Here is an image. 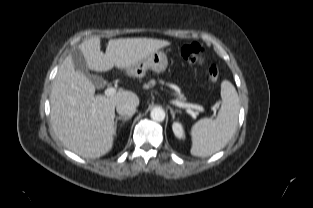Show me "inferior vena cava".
<instances>
[{
  "label": "inferior vena cava",
  "instance_id": "602c4592",
  "mask_svg": "<svg viewBox=\"0 0 313 208\" xmlns=\"http://www.w3.org/2000/svg\"><path fill=\"white\" fill-rule=\"evenodd\" d=\"M117 113L122 116H132L136 111V105L130 102H121L116 106Z\"/></svg>",
  "mask_w": 313,
  "mask_h": 208
}]
</instances>
